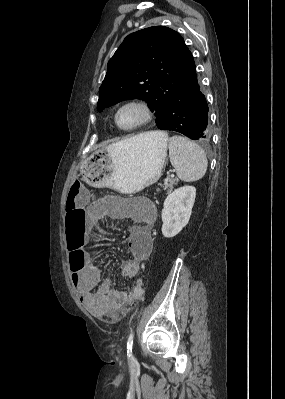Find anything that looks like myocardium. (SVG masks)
Instances as JSON below:
<instances>
[{"instance_id": "myocardium-1", "label": "myocardium", "mask_w": 285, "mask_h": 399, "mask_svg": "<svg viewBox=\"0 0 285 399\" xmlns=\"http://www.w3.org/2000/svg\"><path fill=\"white\" fill-rule=\"evenodd\" d=\"M128 107L139 108L143 113V118L138 123H136L130 127H123L122 125H120L118 117H119V114L121 113V111H123L124 109H126ZM152 118H153V110H152L151 106L146 101L141 100V99H132V100L126 101L121 106H119V108L116 110L115 115H114V120H115L117 127L123 131H133V130L139 129L141 127H144L152 120Z\"/></svg>"}]
</instances>
